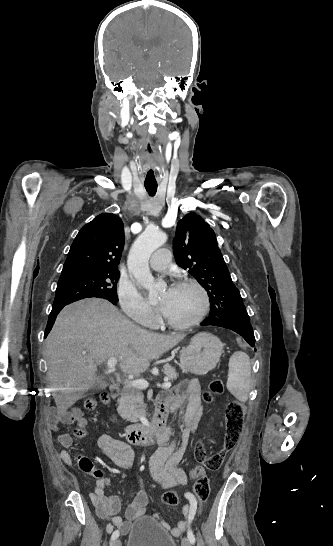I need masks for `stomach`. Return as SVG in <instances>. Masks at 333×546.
Here are the masks:
<instances>
[{"instance_id": "stomach-1", "label": "stomach", "mask_w": 333, "mask_h": 546, "mask_svg": "<svg viewBox=\"0 0 333 546\" xmlns=\"http://www.w3.org/2000/svg\"><path fill=\"white\" fill-rule=\"evenodd\" d=\"M222 352L223 344L218 337L200 332L182 349L180 365L184 371L205 375L216 367Z\"/></svg>"}]
</instances>
